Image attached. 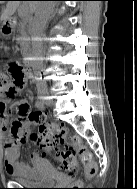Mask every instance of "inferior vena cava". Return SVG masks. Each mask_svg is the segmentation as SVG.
<instances>
[{
    "instance_id": "obj_1",
    "label": "inferior vena cava",
    "mask_w": 137,
    "mask_h": 189,
    "mask_svg": "<svg viewBox=\"0 0 137 189\" xmlns=\"http://www.w3.org/2000/svg\"><path fill=\"white\" fill-rule=\"evenodd\" d=\"M43 6L39 8L35 13V18L31 24V40H32V55L35 58L34 65L35 72L34 76L36 78L35 83L38 84V88H47L43 61H42V51L43 46L40 40L41 33L43 32L44 26L50 15L51 8L53 7L52 1L42 2Z\"/></svg>"
}]
</instances>
